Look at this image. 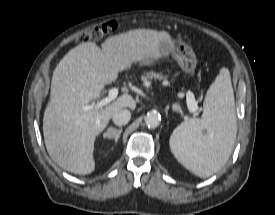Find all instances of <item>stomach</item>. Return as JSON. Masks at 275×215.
<instances>
[{
    "instance_id": "1",
    "label": "stomach",
    "mask_w": 275,
    "mask_h": 215,
    "mask_svg": "<svg viewBox=\"0 0 275 215\" xmlns=\"http://www.w3.org/2000/svg\"><path fill=\"white\" fill-rule=\"evenodd\" d=\"M169 56H172L177 61L184 73L193 75L197 65V59L193 49L189 45L171 37L161 38L158 41L156 53L142 60V62L148 64L154 60L167 58Z\"/></svg>"
}]
</instances>
